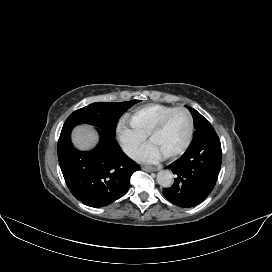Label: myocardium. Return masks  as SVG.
<instances>
[{
  "mask_svg": "<svg viewBox=\"0 0 272 272\" xmlns=\"http://www.w3.org/2000/svg\"><path fill=\"white\" fill-rule=\"evenodd\" d=\"M178 111L184 112L187 115V117H188V122H189L188 135H187V138H186L185 142L182 144V146L180 148H178L176 151H174V152H172L170 154L164 155V157L166 159L177 158L178 156L182 155L187 150V148L189 147V145L191 144L192 139H193V135H194V118H193L191 112L187 108H184V107H175V108H172L168 112L164 113L157 120V122L154 124V126L152 127V129L150 130V132L148 134L149 141L151 142L153 136L155 134H157L163 128V126L165 125V123L168 120V118L173 113L178 112Z\"/></svg>",
  "mask_w": 272,
  "mask_h": 272,
  "instance_id": "1",
  "label": "myocardium"
}]
</instances>
